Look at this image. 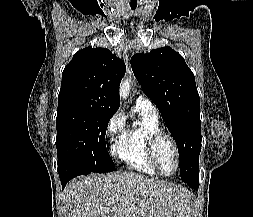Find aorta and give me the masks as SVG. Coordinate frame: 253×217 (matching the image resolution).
Segmentation results:
<instances>
[{"label": "aorta", "instance_id": "1", "mask_svg": "<svg viewBox=\"0 0 253 217\" xmlns=\"http://www.w3.org/2000/svg\"><path fill=\"white\" fill-rule=\"evenodd\" d=\"M131 89V79L125 78L120 84L119 93L122 100L126 99Z\"/></svg>", "mask_w": 253, "mask_h": 217}]
</instances>
